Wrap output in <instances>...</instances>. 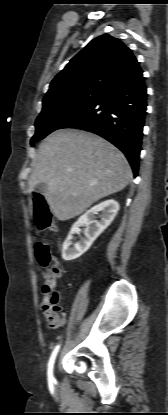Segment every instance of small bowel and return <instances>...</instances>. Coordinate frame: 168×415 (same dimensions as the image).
<instances>
[{
	"instance_id": "obj_1",
	"label": "small bowel",
	"mask_w": 168,
	"mask_h": 415,
	"mask_svg": "<svg viewBox=\"0 0 168 415\" xmlns=\"http://www.w3.org/2000/svg\"><path fill=\"white\" fill-rule=\"evenodd\" d=\"M42 300L40 309L51 328H58L65 324L66 319L63 315V309L60 306V295L49 284L42 287Z\"/></svg>"
}]
</instances>
